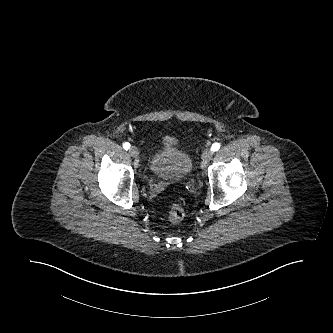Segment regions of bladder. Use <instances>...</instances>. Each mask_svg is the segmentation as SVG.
<instances>
[{"mask_svg": "<svg viewBox=\"0 0 333 333\" xmlns=\"http://www.w3.org/2000/svg\"><path fill=\"white\" fill-rule=\"evenodd\" d=\"M149 173L165 181L184 180L192 170L190 154L179 147L175 138L164 136L148 161Z\"/></svg>", "mask_w": 333, "mask_h": 333, "instance_id": "bladder-1", "label": "bladder"}]
</instances>
